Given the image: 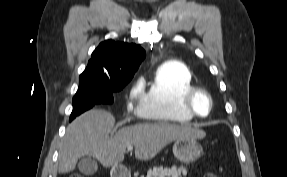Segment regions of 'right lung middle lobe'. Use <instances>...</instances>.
<instances>
[{"instance_id":"right-lung-middle-lobe-1","label":"right lung middle lobe","mask_w":287,"mask_h":177,"mask_svg":"<svg viewBox=\"0 0 287 177\" xmlns=\"http://www.w3.org/2000/svg\"><path fill=\"white\" fill-rule=\"evenodd\" d=\"M130 80L121 81L110 86H104L97 82L91 75L82 73L79 77V87L73 97V106L79 104H111L113 103V93L118 92L127 85ZM75 112L71 113L70 118H74Z\"/></svg>"}]
</instances>
